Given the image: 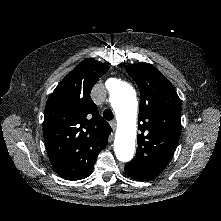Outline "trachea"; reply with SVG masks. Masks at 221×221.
<instances>
[{"instance_id":"obj_1","label":"trachea","mask_w":221,"mask_h":221,"mask_svg":"<svg viewBox=\"0 0 221 221\" xmlns=\"http://www.w3.org/2000/svg\"><path fill=\"white\" fill-rule=\"evenodd\" d=\"M103 118L107 121L112 120L114 118L113 112L110 109L104 110Z\"/></svg>"}]
</instances>
